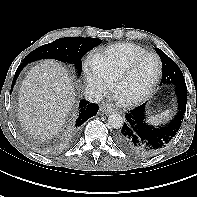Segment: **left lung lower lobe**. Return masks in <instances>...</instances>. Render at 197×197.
<instances>
[{
    "mask_svg": "<svg viewBox=\"0 0 197 197\" xmlns=\"http://www.w3.org/2000/svg\"><path fill=\"white\" fill-rule=\"evenodd\" d=\"M177 113L170 123L153 126L148 123L145 104L126 114V120L116 135L117 144L126 152L148 158L161 152L178 132L184 119L187 104L186 85L176 86Z\"/></svg>",
    "mask_w": 197,
    "mask_h": 197,
    "instance_id": "0a47b994",
    "label": "left lung lower lobe"
}]
</instances>
